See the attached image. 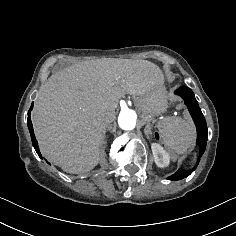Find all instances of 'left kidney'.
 <instances>
[{
	"mask_svg": "<svg viewBox=\"0 0 236 236\" xmlns=\"http://www.w3.org/2000/svg\"><path fill=\"white\" fill-rule=\"evenodd\" d=\"M151 148L156 165L160 168L167 167L170 162L169 154L158 143H152Z\"/></svg>",
	"mask_w": 236,
	"mask_h": 236,
	"instance_id": "1",
	"label": "left kidney"
}]
</instances>
